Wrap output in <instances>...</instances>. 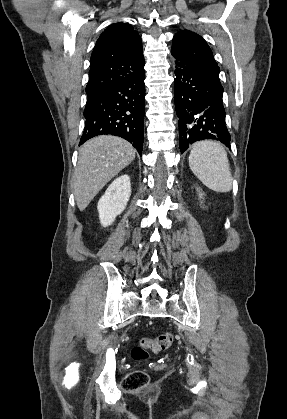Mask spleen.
Returning a JSON list of instances; mask_svg holds the SVG:
<instances>
[{
  "mask_svg": "<svg viewBox=\"0 0 287 419\" xmlns=\"http://www.w3.org/2000/svg\"><path fill=\"white\" fill-rule=\"evenodd\" d=\"M189 166L209 189L226 193L232 189V175L225 148L215 141L196 142L189 155Z\"/></svg>",
  "mask_w": 287,
  "mask_h": 419,
  "instance_id": "1",
  "label": "spleen"
}]
</instances>
